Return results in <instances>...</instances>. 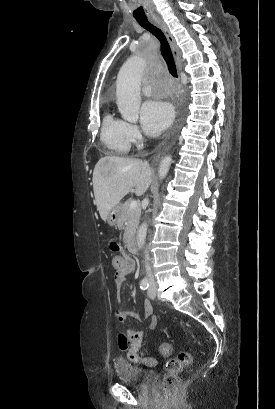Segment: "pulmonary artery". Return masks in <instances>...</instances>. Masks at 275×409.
<instances>
[{"instance_id":"obj_1","label":"pulmonary artery","mask_w":275,"mask_h":409,"mask_svg":"<svg viewBox=\"0 0 275 409\" xmlns=\"http://www.w3.org/2000/svg\"><path fill=\"white\" fill-rule=\"evenodd\" d=\"M144 90H145V92H144V95H145V96L152 95V93H153V89H152V87L149 86V85L146 86Z\"/></svg>"}]
</instances>
